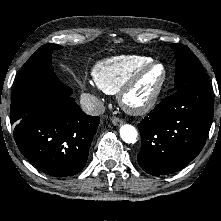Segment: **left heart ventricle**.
<instances>
[{"mask_svg": "<svg viewBox=\"0 0 221 221\" xmlns=\"http://www.w3.org/2000/svg\"><path fill=\"white\" fill-rule=\"evenodd\" d=\"M162 69L159 66L150 69L138 83V85L128 95V101L132 104H138L146 100L154 90L160 77Z\"/></svg>", "mask_w": 221, "mask_h": 221, "instance_id": "obj_1", "label": "left heart ventricle"}]
</instances>
